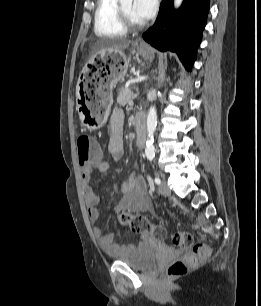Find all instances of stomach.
Returning a JSON list of instances; mask_svg holds the SVG:
<instances>
[{
  "label": "stomach",
  "instance_id": "stomach-1",
  "mask_svg": "<svg viewBox=\"0 0 261 306\" xmlns=\"http://www.w3.org/2000/svg\"><path fill=\"white\" fill-rule=\"evenodd\" d=\"M146 60H152L150 50L137 48ZM91 65L99 66L98 79H90L78 84L77 109L81 124L95 130L106 122L113 103V89L128 69L129 60L122 50L98 53L90 60Z\"/></svg>",
  "mask_w": 261,
  "mask_h": 306
}]
</instances>
